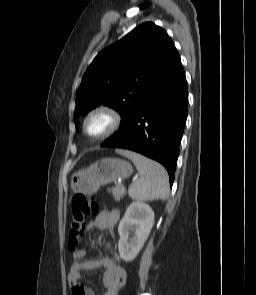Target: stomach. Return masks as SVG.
Returning <instances> with one entry per match:
<instances>
[{"label": "stomach", "mask_w": 256, "mask_h": 295, "mask_svg": "<svg viewBox=\"0 0 256 295\" xmlns=\"http://www.w3.org/2000/svg\"><path fill=\"white\" fill-rule=\"evenodd\" d=\"M133 172L131 164L117 158H101L81 168L71 178V190L84 195L92 194L117 178L129 177Z\"/></svg>", "instance_id": "obj_1"}]
</instances>
